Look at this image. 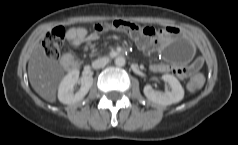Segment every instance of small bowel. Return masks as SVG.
<instances>
[{"label": "small bowel", "instance_id": "obj_1", "mask_svg": "<svg viewBox=\"0 0 238 145\" xmlns=\"http://www.w3.org/2000/svg\"><path fill=\"white\" fill-rule=\"evenodd\" d=\"M165 31L168 33H172L174 29L169 27ZM69 38L73 42L83 39L94 41L97 39V36L95 34H86L83 29L77 28L69 32ZM201 65V59L197 58L175 68H171L169 65L161 62L152 64L150 68L154 72H168L171 70L173 73L181 77H186L197 72L200 69Z\"/></svg>", "mask_w": 238, "mask_h": 145}]
</instances>
